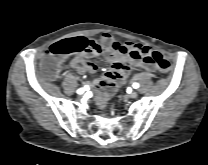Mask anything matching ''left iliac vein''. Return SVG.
<instances>
[{
    "label": "left iliac vein",
    "mask_w": 208,
    "mask_h": 165,
    "mask_svg": "<svg viewBox=\"0 0 208 165\" xmlns=\"http://www.w3.org/2000/svg\"><path fill=\"white\" fill-rule=\"evenodd\" d=\"M129 98H136L138 96V92L132 91L127 95Z\"/></svg>",
    "instance_id": "1"
}]
</instances>
